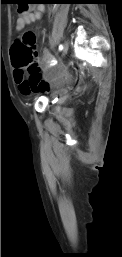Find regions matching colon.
Segmentation results:
<instances>
[{"label": "colon", "mask_w": 122, "mask_h": 257, "mask_svg": "<svg viewBox=\"0 0 122 257\" xmlns=\"http://www.w3.org/2000/svg\"><path fill=\"white\" fill-rule=\"evenodd\" d=\"M20 13L30 9L29 5H18ZM11 60L16 69H26L32 79H36L40 68L36 53V38L32 32H25L11 48Z\"/></svg>", "instance_id": "obj_1"}]
</instances>
